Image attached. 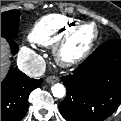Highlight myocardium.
Here are the masks:
<instances>
[{
  "mask_svg": "<svg viewBox=\"0 0 121 121\" xmlns=\"http://www.w3.org/2000/svg\"><path fill=\"white\" fill-rule=\"evenodd\" d=\"M85 27L93 28L94 36L92 40L82 52L71 56H67L65 54V48L67 47V45L69 44L73 36L80 29ZM98 38H99V30L96 25L90 22H79L78 24L74 25L69 30H67L54 44L53 54H54L55 60L60 66H63V67H71L79 64L90 54L95 44L97 43Z\"/></svg>",
  "mask_w": 121,
  "mask_h": 121,
  "instance_id": "f54148a6",
  "label": "myocardium"
}]
</instances>
